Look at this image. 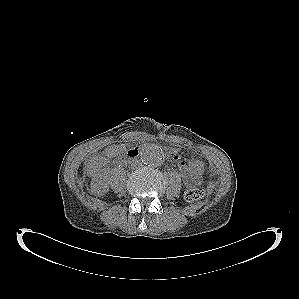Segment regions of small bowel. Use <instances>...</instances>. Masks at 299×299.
<instances>
[{
	"label": "small bowel",
	"mask_w": 299,
	"mask_h": 299,
	"mask_svg": "<svg viewBox=\"0 0 299 299\" xmlns=\"http://www.w3.org/2000/svg\"><path fill=\"white\" fill-rule=\"evenodd\" d=\"M122 151V148L120 146H111L106 149L105 156L109 159L116 157L118 154H120ZM179 166H180V172L182 179L187 186H194L199 181H197L194 176L192 175L189 166L184 161L179 160Z\"/></svg>",
	"instance_id": "c3829d8e"
}]
</instances>
